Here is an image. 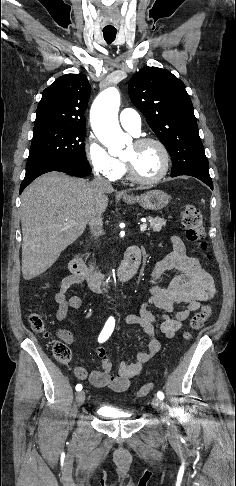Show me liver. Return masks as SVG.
Here are the masks:
<instances>
[{"label":"liver","instance_id":"liver-1","mask_svg":"<svg viewBox=\"0 0 236 486\" xmlns=\"http://www.w3.org/2000/svg\"><path fill=\"white\" fill-rule=\"evenodd\" d=\"M85 179L50 172L33 181L21 196L22 275L31 280L49 269L78 239L86 225L108 205L106 193Z\"/></svg>","mask_w":236,"mask_h":486}]
</instances>
